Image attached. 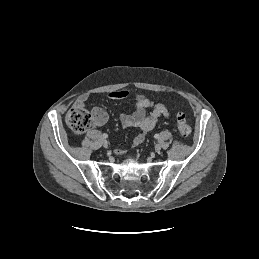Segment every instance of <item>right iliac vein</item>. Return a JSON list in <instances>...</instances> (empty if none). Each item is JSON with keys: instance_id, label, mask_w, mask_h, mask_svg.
<instances>
[{"instance_id": "right-iliac-vein-1", "label": "right iliac vein", "mask_w": 259, "mask_h": 259, "mask_svg": "<svg viewBox=\"0 0 259 259\" xmlns=\"http://www.w3.org/2000/svg\"><path fill=\"white\" fill-rule=\"evenodd\" d=\"M102 145H103L105 148H107L108 145H109V143H108L107 140L104 139V140L102 141Z\"/></svg>"}]
</instances>
